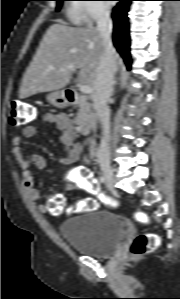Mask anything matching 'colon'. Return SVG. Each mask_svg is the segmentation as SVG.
Masks as SVG:
<instances>
[{"label": "colon", "mask_w": 180, "mask_h": 299, "mask_svg": "<svg viewBox=\"0 0 180 299\" xmlns=\"http://www.w3.org/2000/svg\"><path fill=\"white\" fill-rule=\"evenodd\" d=\"M38 112L36 107L28 102L21 100H13L9 105V122L12 126H26L32 123L37 118ZM80 187L87 191L88 193L98 195L104 203L109 206H115L116 201L103 195L99 190V185L90 173H82L79 179ZM97 207V202L93 198L83 199L73 206L70 209L74 212H88L94 210ZM66 209V204L62 196L54 195L49 198L47 202V211L52 215H60ZM138 221L147 224L149 218L143 214L138 213L136 215ZM159 244V239L157 236L142 233L137 235L131 245H130V254L135 257H141L145 254H148L154 251Z\"/></svg>", "instance_id": "colon-1"}]
</instances>
